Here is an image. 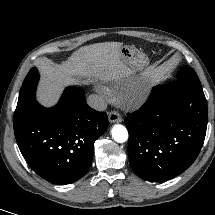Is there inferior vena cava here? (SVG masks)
<instances>
[{"label":"inferior vena cava","mask_w":215,"mask_h":215,"mask_svg":"<svg viewBox=\"0 0 215 215\" xmlns=\"http://www.w3.org/2000/svg\"><path fill=\"white\" fill-rule=\"evenodd\" d=\"M87 104L99 111H105L107 109V102L101 95L92 94L87 98Z\"/></svg>","instance_id":"602c4592"}]
</instances>
